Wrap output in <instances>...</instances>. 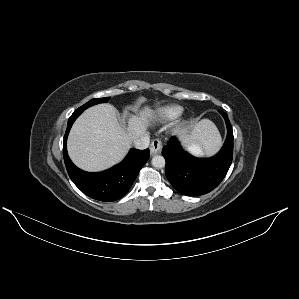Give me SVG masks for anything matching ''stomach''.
Wrapping results in <instances>:
<instances>
[{
  "label": "stomach",
  "instance_id": "obj_1",
  "mask_svg": "<svg viewBox=\"0 0 299 299\" xmlns=\"http://www.w3.org/2000/svg\"><path fill=\"white\" fill-rule=\"evenodd\" d=\"M191 148H192V150L194 151V150H196V149L199 148V147L196 146V145H193Z\"/></svg>",
  "mask_w": 299,
  "mask_h": 299
}]
</instances>
